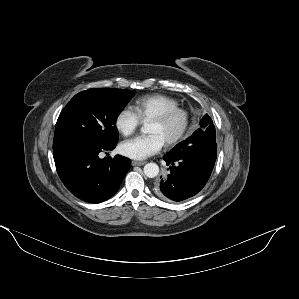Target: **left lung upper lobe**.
Wrapping results in <instances>:
<instances>
[{
  "label": "left lung upper lobe",
  "mask_w": 299,
  "mask_h": 299,
  "mask_svg": "<svg viewBox=\"0 0 299 299\" xmlns=\"http://www.w3.org/2000/svg\"><path fill=\"white\" fill-rule=\"evenodd\" d=\"M204 138L210 142L211 148V157L216 158L217 155V145H216V131L213 125L212 119L206 114L200 121V127L193 133L192 136L187 138L186 140L178 143L169 153L177 152L180 149L186 147V145H191L197 140Z\"/></svg>",
  "instance_id": "left-lung-upper-lobe-1"
}]
</instances>
